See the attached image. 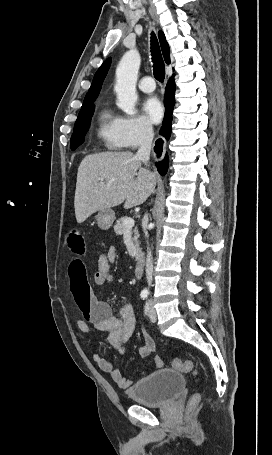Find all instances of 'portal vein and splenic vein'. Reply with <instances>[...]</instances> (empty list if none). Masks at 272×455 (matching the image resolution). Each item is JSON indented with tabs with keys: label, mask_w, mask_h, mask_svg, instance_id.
I'll return each instance as SVG.
<instances>
[{
	"label": "portal vein and splenic vein",
	"mask_w": 272,
	"mask_h": 455,
	"mask_svg": "<svg viewBox=\"0 0 272 455\" xmlns=\"http://www.w3.org/2000/svg\"><path fill=\"white\" fill-rule=\"evenodd\" d=\"M101 181H103V179H101ZM134 224H135L134 219H132V218H126V219L124 220V227H125V230L131 229V228L134 226Z\"/></svg>",
	"instance_id": "18ae733b"
}]
</instances>
